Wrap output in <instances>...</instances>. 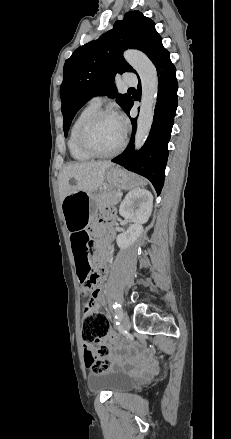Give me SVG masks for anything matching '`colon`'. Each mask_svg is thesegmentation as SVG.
Returning <instances> with one entry per match:
<instances>
[{"mask_svg": "<svg viewBox=\"0 0 231 439\" xmlns=\"http://www.w3.org/2000/svg\"><path fill=\"white\" fill-rule=\"evenodd\" d=\"M73 230H79L78 226H73ZM78 277L83 284L82 294L88 298L84 304V318L82 325V338L85 344L95 343V350L98 356L96 358L93 352H86L84 354L85 365L93 372H101L110 367V361L103 358L107 355V347L99 340L108 334V323L105 315L99 312H91L89 302L92 299V290L96 284L97 276L92 272L91 265L87 263L80 266L78 270Z\"/></svg>", "mask_w": 231, "mask_h": 439, "instance_id": "1", "label": "colon"}]
</instances>
